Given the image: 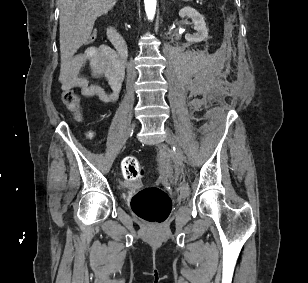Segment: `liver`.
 Instances as JSON below:
<instances>
[{
    "label": "liver",
    "mask_w": 308,
    "mask_h": 283,
    "mask_svg": "<svg viewBox=\"0 0 308 283\" xmlns=\"http://www.w3.org/2000/svg\"><path fill=\"white\" fill-rule=\"evenodd\" d=\"M117 0H59L62 63L87 42L95 20L108 13Z\"/></svg>",
    "instance_id": "6515ba94"
}]
</instances>
